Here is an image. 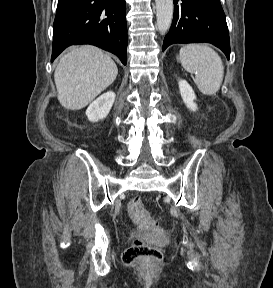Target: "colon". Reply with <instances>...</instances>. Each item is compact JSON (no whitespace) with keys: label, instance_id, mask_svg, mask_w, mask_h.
Segmentation results:
<instances>
[{"label":"colon","instance_id":"colon-1","mask_svg":"<svg viewBox=\"0 0 273 288\" xmlns=\"http://www.w3.org/2000/svg\"><path fill=\"white\" fill-rule=\"evenodd\" d=\"M128 211L136 225L141 229H149L157 226V221L144 209L140 198H133L128 205ZM162 258L161 251L149 245L143 239L137 238L126 249L123 261L132 264L136 260H144L148 264L158 263Z\"/></svg>","mask_w":273,"mask_h":288}]
</instances>
